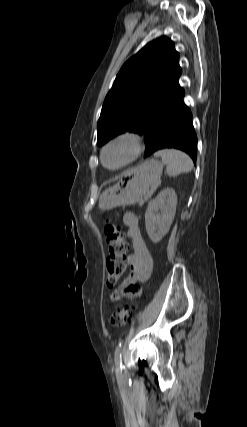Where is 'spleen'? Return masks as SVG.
<instances>
[{"mask_svg":"<svg viewBox=\"0 0 247 427\" xmlns=\"http://www.w3.org/2000/svg\"><path fill=\"white\" fill-rule=\"evenodd\" d=\"M156 157H161L169 176H178L181 173L190 172L193 168L191 158L180 150L163 149L155 153Z\"/></svg>","mask_w":247,"mask_h":427,"instance_id":"3e777b00","label":"spleen"}]
</instances>
